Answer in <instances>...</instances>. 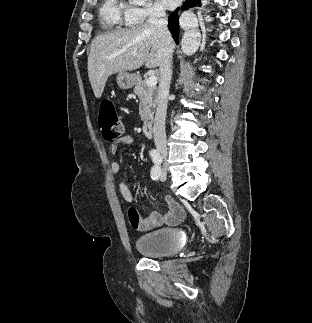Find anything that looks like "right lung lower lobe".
<instances>
[{"mask_svg":"<svg viewBox=\"0 0 312 323\" xmlns=\"http://www.w3.org/2000/svg\"><path fill=\"white\" fill-rule=\"evenodd\" d=\"M200 4H201V0H186V2L183 5V8L188 9L190 7L198 6ZM168 28L170 29L174 37V40L178 42L179 24H178V18H177V11H174L169 15Z\"/></svg>","mask_w":312,"mask_h":323,"instance_id":"98d812e1","label":"right lung lower lobe"}]
</instances>
